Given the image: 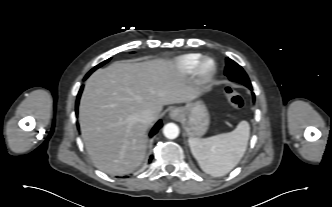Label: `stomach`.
<instances>
[{"instance_id":"stomach-1","label":"stomach","mask_w":332,"mask_h":207,"mask_svg":"<svg viewBox=\"0 0 332 207\" xmlns=\"http://www.w3.org/2000/svg\"><path fill=\"white\" fill-rule=\"evenodd\" d=\"M183 110V124L189 137H200L208 129L209 113L202 101L189 103Z\"/></svg>"}]
</instances>
